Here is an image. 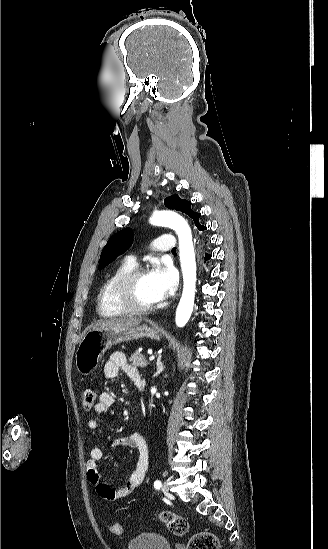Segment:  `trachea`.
<instances>
[{
  "instance_id": "1",
  "label": "trachea",
  "mask_w": 328,
  "mask_h": 549,
  "mask_svg": "<svg viewBox=\"0 0 328 549\" xmlns=\"http://www.w3.org/2000/svg\"><path fill=\"white\" fill-rule=\"evenodd\" d=\"M172 250H173V251H175V250H176V248L174 247V248H173Z\"/></svg>"
}]
</instances>
